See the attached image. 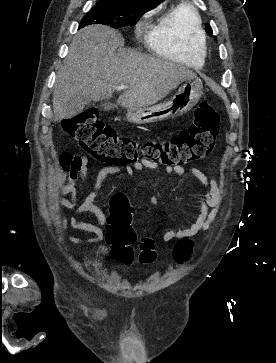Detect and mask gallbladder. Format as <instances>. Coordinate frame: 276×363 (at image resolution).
<instances>
[{"label": "gallbladder", "instance_id": "obj_1", "mask_svg": "<svg viewBox=\"0 0 276 363\" xmlns=\"http://www.w3.org/2000/svg\"><path fill=\"white\" fill-rule=\"evenodd\" d=\"M87 101L79 98H72L69 106L68 112H71L73 116L80 114L85 108Z\"/></svg>", "mask_w": 276, "mask_h": 363}]
</instances>
